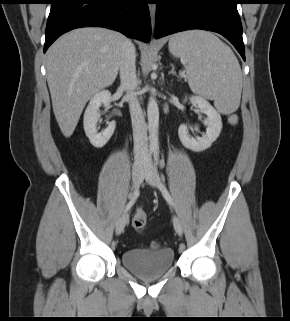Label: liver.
<instances>
[{
    "mask_svg": "<svg viewBox=\"0 0 290 321\" xmlns=\"http://www.w3.org/2000/svg\"><path fill=\"white\" fill-rule=\"evenodd\" d=\"M126 37L101 27L74 29L47 51V83L61 132L70 137L92 96L110 86L120 67Z\"/></svg>",
    "mask_w": 290,
    "mask_h": 321,
    "instance_id": "6515ba94",
    "label": "liver"
}]
</instances>
